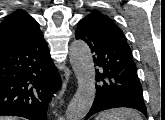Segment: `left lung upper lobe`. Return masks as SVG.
Here are the masks:
<instances>
[{"label": "left lung upper lobe", "instance_id": "1", "mask_svg": "<svg viewBox=\"0 0 165 120\" xmlns=\"http://www.w3.org/2000/svg\"><path fill=\"white\" fill-rule=\"evenodd\" d=\"M86 17L93 20L95 26L106 35L111 36L127 44L122 30L118 26H116L114 22L104 14H101L100 12L97 11H93Z\"/></svg>", "mask_w": 165, "mask_h": 120}]
</instances>
